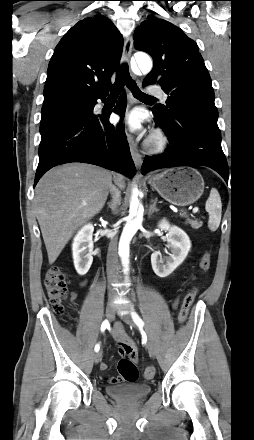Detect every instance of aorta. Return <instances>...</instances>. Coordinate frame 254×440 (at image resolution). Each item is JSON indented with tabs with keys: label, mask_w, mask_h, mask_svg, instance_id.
<instances>
[{
	"label": "aorta",
	"mask_w": 254,
	"mask_h": 440,
	"mask_svg": "<svg viewBox=\"0 0 254 440\" xmlns=\"http://www.w3.org/2000/svg\"><path fill=\"white\" fill-rule=\"evenodd\" d=\"M135 60L142 73L147 74L151 71L153 66L152 60L147 54L138 53L135 55ZM143 213V205L134 194L131 198L129 215L123 228L118 247V253L125 272L129 270V245L133 236L142 225Z\"/></svg>",
	"instance_id": "762f6f07"
}]
</instances>
